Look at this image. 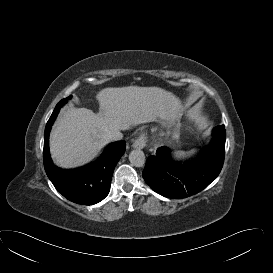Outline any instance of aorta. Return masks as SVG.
<instances>
[{"mask_svg": "<svg viewBox=\"0 0 273 273\" xmlns=\"http://www.w3.org/2000/svg\"><path fill=\"white\" fill-rule=\"evenodd\" d=\"M145 154L142 150L136 149L129 154V161L135 167H142L145 164Z\"/></svg>", "mask_w": 273, "mask_h": 273, "instance_id": "1", "label": "aorta"}]
</instances>
